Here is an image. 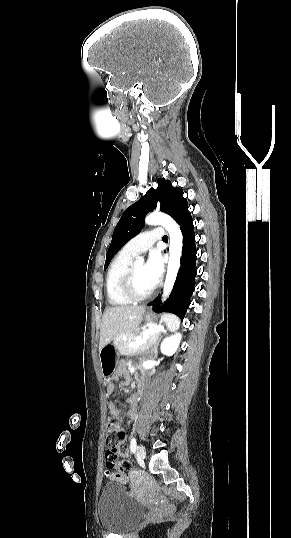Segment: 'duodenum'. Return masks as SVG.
<instances>
[{"label": "duodenum", "mask_w": 291, "mask_h": 538, "mask_svg": "<svg viewBox=\"0 0 291 538\" xmlns=\"http://www.w3.org/2000/svg\"><path fill=\"white\" fill-rule=\"evenodd\" d=\"M144 377L145 374L143 372L135 373V381H137V387H142Z\"/></svg>", "instance_id": "410a0bca"}]
</instances>
